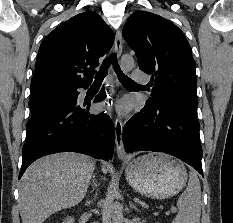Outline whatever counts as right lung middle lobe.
Returning <instances> with one entry per match:
<instances>
[{
  "label": "right lung middle lobe",
  "instance_id": "1",
  "mask_svg": "<svg viewBox=\"0 0 233 223\" xmlns=\"http://www.w3.org/2000/svg\"><path fill=\"white\" fill-rule=\"evenodd\" d=\"M53 90H47L43 91L37 94L31 95L30 101H29V107L31 110V114H36L38 112H41L43 110L53 108L57 105L50 103L45 96L49 93H52Z\"/></svg>",
  "mask_w": 233,
  "mask_h": 223
}]
</instances>
